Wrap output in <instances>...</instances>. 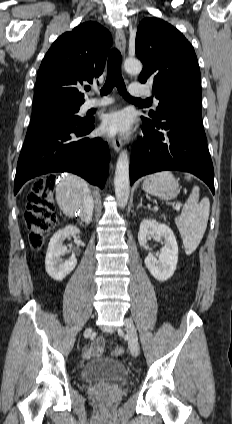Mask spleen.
I'll return each instance as SVG.
<instances>
[{
  "label": "spleen",
  "mask_w": 232,
  "mask_h": 424,
  "mask_svg": "<svg viewBox=\"0 0 232 424\" xmlns=\"http://www.w3.org/2000/svg\"><path fill=\"white\" fill-rule=\"evenodd\" d=\"M191 179L189 175L186 176ZM199 187L194 186L189 198L186 200L181 215L175 218V224L182 237L187 255H191L200 244L207 228L210 201L204 197L199 202Z\"/></svg>",
  "instance_id": "spleen-1"
}]
</instances>
